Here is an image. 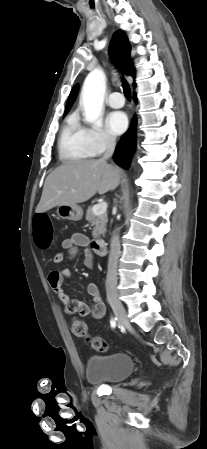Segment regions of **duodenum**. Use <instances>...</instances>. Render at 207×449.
Here are the masks:
<instances>
[{
	"label": "duodenum",
	"instance_id": "duodenum-1",
	"mask_svg": "<svg viewBox=\"0 0 207 449\" xmlns=\"http://www.w3.org/2000/svg\"><path fill=\"white\" fill-rule=\"evenodd\" d=\"M91 247L93 251L99 256H102L106 253V241L104 239L93 240L91 243Z\"/></svg>",
	"mask_w": 207,
	"mask_h": 449
}]
</instances>
